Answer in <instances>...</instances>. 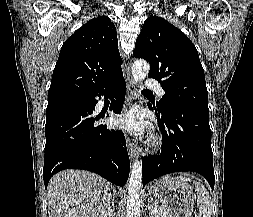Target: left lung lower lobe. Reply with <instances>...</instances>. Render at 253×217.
I'll list each match as a JSON object with an SVG mask.
<instances>
[{"instance_id":"0a47b994","label":"left lung lower lobe","mask_w":253,"mask_h":217,"mask_svg":"<svg viewBox=\"0 0 253 217\" xmlns=\"http://www.w3.org/2000/svg\"><path fill=\"white\" fill-rule=\"evenodd\" d=\"M148 106L155 111L163 143L161 152L142 160L143 187L165 174L193 171L204 176L213 190L215 176L209 111L173 105L159 112L156 106Z\"/></svg>"}]
</instances>
